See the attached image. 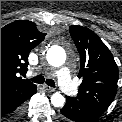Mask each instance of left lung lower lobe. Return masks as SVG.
<instances>
[{
  "instance_id": "1",
  "label": "left lung lower lobe",
  "mask_w": 122,
  "mask_h": 122,
  "mask_svg": "<svg viewBox=\"0 0 122 122\" xmlns=\"http://www.w3.org/2000/svg\"><path fill=\"white\" fill-rule=\"evenodd\" d=\"M60 111L64 117L76 122H91L104 112L92 104L68 96L65 106Z\"/></svg>"
}]
</instances>
